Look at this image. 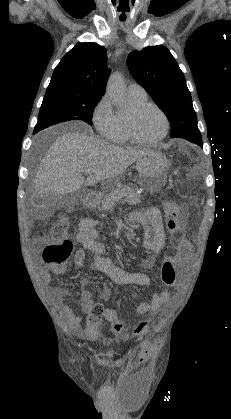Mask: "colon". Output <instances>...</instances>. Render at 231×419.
Segmentation results:
<instances>
[{"instance_id":"1","label":"colon","mask_w":231,"mask_h":419,"mask_svg":"<svg viewBox=\"0 0 231 419\" xmlns=\"http://www.w3.org/2000/svg\"><path fill=\"white\" fill-rule=\"evenodd\" d=\"M180 216L179 205L174 201H169L165 204V224L167 230L174 234L178 229V220ZM70 228V221L67 218L59 219L50 229V234L53 241L45 246L43 250V259L48 264L63 265L69 259L73 243L66 238L67 232ZM169 253H164L159 265V277L163 287L166 290H175L177 285L176 280V259L173 253L174 248L169 246L167 248ZM104 313V308L100 304H94L90 310V314L94 318H101ZM112 331L121 336L123 333V324L120 319H114L111 325ZM133 333L140 338L144 345L143 348H152L157 344H150L147 340V330L144 322H139L134 326Z\"/></svg>"}]
</instances>
